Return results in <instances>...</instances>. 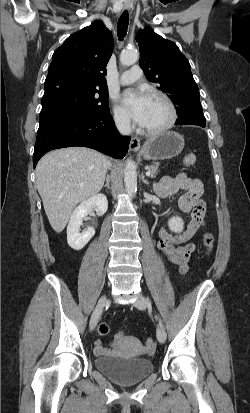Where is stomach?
<instances>
[{
	"label": "stomach",
	"instance_id": "1",
	"mask_svg": "<svg viewBox=\"0 0 250 413\" xmlns=\"http://www.w3.org/2000/svg\"><path fill=\"white\" fill-rule=\"evenodd\" d=\"M184 137L174 131H166L148 139L140 153L146 160H164L173 158L184 148Z\"/></svg>",
	"mask_w": 250,
	"mask_h": 413
}]
</instances>
